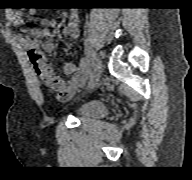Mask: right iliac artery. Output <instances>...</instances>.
Wrapping results in <instances>:
<instances>
[{
    "instance_id": "obj_1",
    "label": "right iliac artery",
    "mask_w": 192,
    "mask_h": 180,
    "mask_svg": "<svg viewBox=\"0 0 192 180\" xmlns=\"http://www.w3.org/2000/svg\"><path fill=\"white\" fill-rule=\"evenodd\" d=\"M85 51L90 67H95L97 58L95 53L91 50L90 46L87 43L85 44Z\"/></svg>"
}]
</instances>
